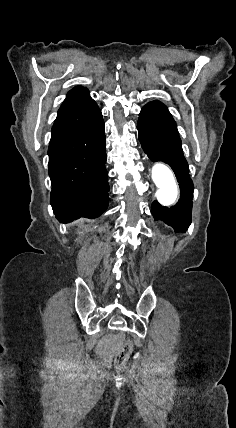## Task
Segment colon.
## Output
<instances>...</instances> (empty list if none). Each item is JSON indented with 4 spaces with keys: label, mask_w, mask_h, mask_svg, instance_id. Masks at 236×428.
<instances>
[{
    "label": "colon",
    "mask_w": 236,
    "mask_h": 428,
    "mask_svg": "<svg viewBox=\"0 0 236 428\" xmlns=\"http://www.w3.org/2000/svg\"><path fill=\"white\" fill-rule=\"evenodd\" d=\"M133 352V343L126 340L115 355V362L119 368H122Z\"/></svg>",
    "instance_id": "colon-1"
}]
</instances>
